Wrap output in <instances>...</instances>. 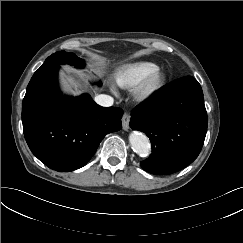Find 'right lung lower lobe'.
<instances>
[{
	"mask_svg": "<svg viewBox=\"0 0 243 243\" xmlns=\"http://www.w3.org/2000/svg\"><path fill=\"white\" fill-rule=\"evenodd\" d=\"M59 66H41L22 103L24 136L32 153L49 168L69 172L86 165L106 134L122 128L123 110L102 107L88 94L63 96Z\"/></svg>",
	"mask_w": 243,
	"mask_h": 243,
	"instance_id": "right-lung-lower-lobe-1",
	"label": "right lung lower lobe"
}]
</instances>
